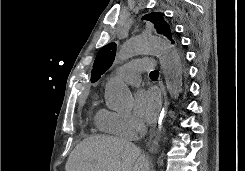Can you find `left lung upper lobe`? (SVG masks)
I'll list each match as a JSON object with an SVG mask.
<instances>
[{
	"mask_svg": "<svg viewBox=\"0 0 245 171\" xmlns=\"http://www.w3.org/2000/svg\"><path fill=\"white\" fill-rule=\"evenodd\" d=\"M142 20H150L159 34L167 37L172 44L178 47V41L172 31L170 25L165 21L164 14L160 12H152L142 17ZM116 54V44L109 43L103 46L97 53L93 69L91 72V82L98 81L102 74L112 65ZM180 57V56H179Z\"/></svg>",
	"mask_w": 245,
	"mask_h": 171,
	"instance_id": "left-lung-upper-lobe-1",
	"label": "left lung upper lobe"
}]
</instances>
